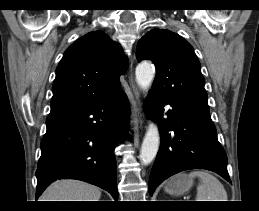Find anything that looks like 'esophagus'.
Masks as SVG:
<instances>
[{
	"instance_id": "esophagus-1",
	"label": "esophagus",
	"mask_w": 259,
	"mask_h": 211,
	"mask_svg": "<svg viewBox=\"0 0 259 211\" xmlns=\"http://www.w3.org/2000/svg\"><path fill=\"white\" fill-rule=\"evenodd\" d=\"M130 85H131V89L135 98V104L133 106V110H132V116H133V120L132 122H138L140 123V108H139V98H140V92L134 82L133 79V75H132V64H131V75H130Z\"/></svg>"
}]
</instances>
